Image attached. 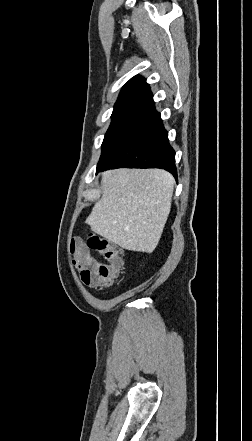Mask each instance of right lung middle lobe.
Wrapping results in <instances>:
<instances>
[{"instance_id":"obj_1","label":"right lung middle lobe","mask_w":252,"mask_h":441,"mask_svg":"<svg viewBox=\"0 0 252 441\" xmlns=\"http://www.w3.org/2000/svg\"><path fill=\"white\" fill-rule=\"evenodd\" d=\"M146 106L147 103H133L114 108L111 125L102 143L98 165L112 158L141 118Z\"/></svg>"}]
</instances>
